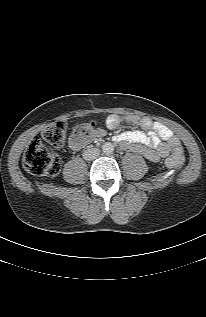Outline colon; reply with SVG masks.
Here are the masks:
<instances>
[{"label": "colon", "mask_w": 206, "mask_h": 317, "mask_svg": "<svg viewBox=\"0 0 206 317\" xmlns=\"http://www.w3.org/2000/svg\"><path fill=\"white\" fill-rule=\"evenodd\" d=\"M68 126L66 122H57L46 127L41 134V138H36L26 149L23 156L25 169L35 175L54 177L61 169L59 157L50 149L62 148L66 142ZM94 123L78 125L72 137L76 141L89 140L96 134ZM172 154L166 159L169 168H180L184 163V154L178 139L171 141Z\"/></svg>", "instance_id": "obj_1"}]
</instances>
